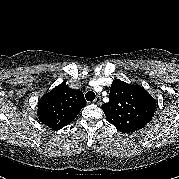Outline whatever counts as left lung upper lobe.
I'll use <instances>...</instances> for the list:
<instances>
[{"mask_svg": "<svg viewBox=\"0 0 179 179\" xmlns=\"http://www.w3.org/2000/svg\"><path fill=\"white\" fill-rule=\"evenodd\" d=\"M155 108V99L143 87L119 79L112 82L109 102L101 106L107 121L122 133H133L148 124Z\"/></svg>", "mask_w": 179, "mask_h": 179, "instance_id": "5c2ea615", "label": "left lung upper lobe"}]
</instances>
